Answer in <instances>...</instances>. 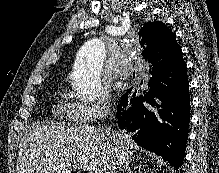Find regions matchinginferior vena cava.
Segmentation results:
<instances>
[{
  "label": "inferior vena cava",
  "mask_w": 219,
  "mask_h": 173,
  "mask_svg": "<svg viewBox=\"0 0 219 173\" xmlns=\"http://www.w3.org/2000/svg\"><path fill=\"white\" fill-rule=\"evenodd\" d=\"M106 140H110L112 138V130L110 126L105 125L103 128ZM117 165L113 163V165L107 170V173H117Z\"/></svg>",
  "instance_id": "602c4592"
}]
</instances>
